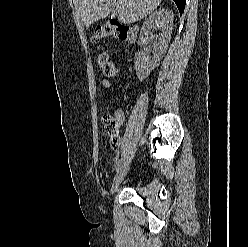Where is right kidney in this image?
<instances>
[{
	"instance_id": "right-kidney-1",
	"label": "right kidney",
	"mask_w": 248,
	"mask_h": 247,
	"mask_svg": "<svg viewBox=\"0 0 248 247\" xmlns=\"http://www.w3.org/2000/svg\"><path fill=\"white\" fill-rule=\"evenodd\" d=\"M173 12L169 9H159L147 18L140 31V40L147 43L154 40L153 58L149 59L144 53L135 55V69L137 77L144 80L150 72L159 65L160 60L165 55L172 33ZM153 31H160L153 34Z\"/></svg>"
}]
</instances>
